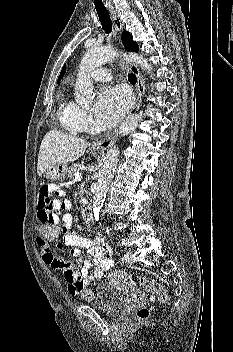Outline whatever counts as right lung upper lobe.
Listing matches in <instances>:
<instances>
[{
    "label": "right lung upper lobe",
    "mask_w": 233,
    "mask_h": 352,
    "mask_svg": "<svg viewBox=\"0 0 233 352\" xmlns=\"http://www.w3.org/2000/svg\"><path fill=\"white\" fill-rule=\"evenodd\" d=\"M65 71H66V65H64V67L62 68L57 83H59V81L61 80V78L64 76Z\"/></svg>",
    "instance_id": "cb5924a9"
}]
</instances>
